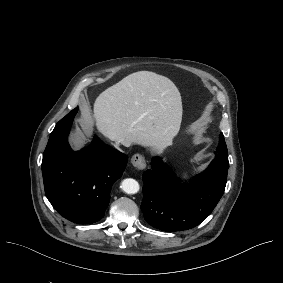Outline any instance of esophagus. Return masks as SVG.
Segmentation results:
<instances>
[{
	"label": "esophagus",
	"mask_w": 283,
	"mask_h": 283,
	"mask_svg": "<svg viewBox=\"0 0 283 283\" xmlns=\"http://www.w3.org/2000/svg\"><path fill=\"white\" fill-rule=\"evenodd\" d=\"M131 163L134 167H136L137 169H140V170H142L146 167L145 158L138 153L133 155V157L131 158Z\"/></svg>",
	"instance_id": "34e87169"
}]
</instances>
